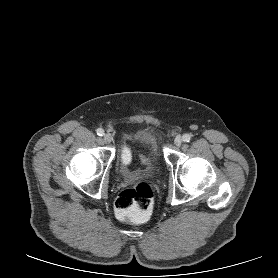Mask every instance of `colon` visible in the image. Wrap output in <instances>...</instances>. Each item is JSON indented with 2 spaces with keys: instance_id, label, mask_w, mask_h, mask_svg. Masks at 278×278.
Returning a JSON list of instances; mask_svg holds the SVG:
<instances>
[{
  "instance_id": "colon-1",
  "label": "colon",
  "mask_w": 278,
  "mask_h": 278,
  "mask_svg": "<svg viewBox=\"0 0 278 278\" xmlns=\"http://www.w3.org/2000/svg\"><path fill=\"white\" fill-rule=\"evenodd\" d=\"M128 159V156H126ZM154 193L144 181L123 190L115 200V211L119 219L133 224L146 222L153 210Z\"/></svg>"
}]
</instances>
